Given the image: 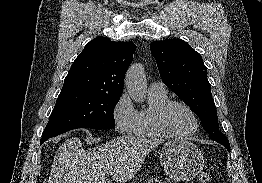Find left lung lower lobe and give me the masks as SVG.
I'll return each instance as SVG.
<instances>
[{
	"label": "left lung lower lobe",
	"mask_w": 262,
	"mask_h": 183,
	"mask_svg": "<svg viewBox=\"0 0 262 183\" xmlns=\"http://www.w3.org/2000/svg\"><path fill=\"white\" fill-rule=\"evenodd\" d=\"M217 142L222 144V145H224L227 148V150L230 152V144L228 142V139L227 140H222V141H217Z\"/></svg>",
	"instance_id": "1"
}]
</instances>
